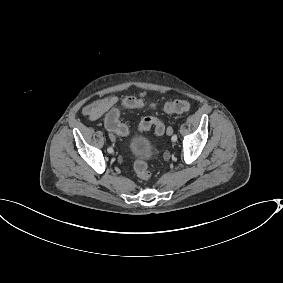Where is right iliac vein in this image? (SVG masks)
<instances>
[{"mask_svg":"<svg viewBox=\"0 0 283 283\" xmlns=\"http://www.w3.org/2000/svg\"><path fill=\"white\" fill-rule=\"evenodd\" d=\"M111 140H112V141H115V137H114V136H111Z\"/></svg>","mask_w":283,"mask_h":283,"instance_id":"63e3f726","label":"right iliac vein"}]
</instances>
